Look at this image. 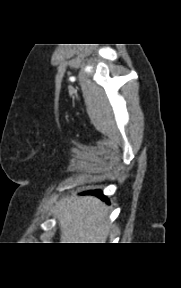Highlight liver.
<instances>
[{"label": "liver", "instance_id": "6515ba94", "mask_svg": "<svg viewBox=\"0 0 181 288\" xmlns=\"http://www.w3.org/2000/svg\"><path fill=\"white\" fill-rule=\"evenodd\" d=\"M57 217L62 243H105L109 235L108 208L96 197L68 199Z\"/></svg>", "mask_w": 181, "mask_h": 288}]
</instances>
